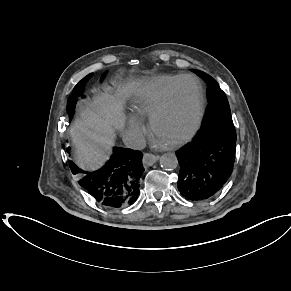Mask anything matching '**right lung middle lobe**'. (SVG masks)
I'll list each match as a JSON object with an SVG mask.
<instances>
[{"mask_svg":"<svg viewBox=\"0 0 291 291\" xmlns=\"http://www.w3.org/2000/svg\"><path fill=\"white\" fill-rule=\"evenodd\" d=\"M92 73L84 77L81 81L78 82V84L74 87L72 95L68 99L67 103V109L70 120H72L75 110V105L77 103V98L82 95L83 88L86 84V82L92 77ZM104 75L102 76V78Z\"/></svg>","mask_w":291,"mask_h":291,"instance_id":"right-lung-middle-lobe-1","label":"right lung middle lobe"}]
</instances>
